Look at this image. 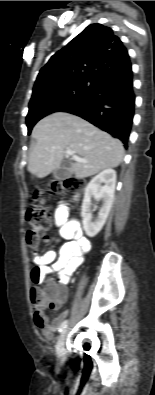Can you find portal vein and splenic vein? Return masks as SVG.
<instances>
[{"mask_svg":"<svg viewBox=\"0 0 155 395\" xmlns=\"http://www.w3.org/2000/svg\"><path fill=\"white\" fill-rule=\"evenodd\" d=\"M67 156H71L73 160L77 161V162H86L84 159H81L80 157L76 156L73 154V152L71 150H68L66 152Z\"/></svg>","mask_w":155,"mask_h":395,"instance_id":"obj_1","label":"portal vein and splenic vein"}]
</instances>
